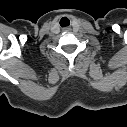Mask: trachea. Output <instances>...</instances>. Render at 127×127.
Wrapping results in <instances>:
<instances>
[{
    "mask_svg": "<svg viewBox=\"0 0 127 127\" xmlns=\"http://www.w3.org/2000/svg\"><path fill=\"white\" fill-rule=\"evenodd\" d=\"M60 25H61V27L69 26L70 25V20L66 17H63L60 20Z\"/></svg>",
    "mask_w": 127,
    "mask_h": 127,
    "instance_id": "obj_1",
    "label": "trachea"
}]
</instances>
